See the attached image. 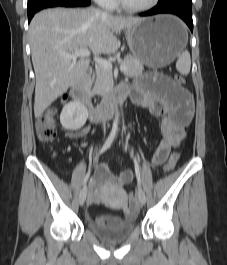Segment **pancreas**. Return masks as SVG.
I'll return each mask as SVG.
<instances>
[{
  "mask_svg": "<svg viewBox=\"0 0 227 265\" xmlns=\"http://www.w3.org/2000/svg\"><path fill=\"white\" fill-rule=\"evenodd\" d=\"M121 64L127 66L124 74L128 77L138 76L144 70L142 63L131 55L125 57ZM92 85V94L106 96L113 89L114 85L112 71L99 67L96 70V75L92 77L89 87L91 88Z\"/></svg>",
  "mask_w": 227,
  "mask_h": 265,
  "instance_id": "obj_1",
  "label": "pancreas"
}]
</instances>
